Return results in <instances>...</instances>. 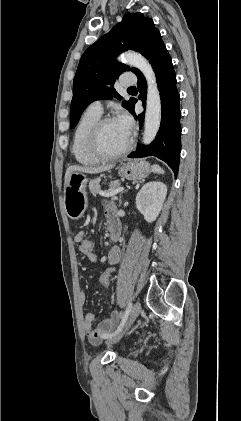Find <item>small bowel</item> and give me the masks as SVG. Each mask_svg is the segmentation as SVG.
Here are the masks:
<instances>
[{
    "label": "small bowel",
    "instance_id": "1",
    "mask_svg": "<svg viewBox=\"0 0 241 421\" xmlns=\"http://www.w3.org/2000/svg\"><path fill=\"white\" fill-rule=\"evenodd\" d=\"M115 214V207L113 205H107L106 207V216L107 218ZM85 240V233L79 231L75 237L74 241L77 244H81ZM91 262L95 263L97 261V256L94 252L83 253ZM122 251L120 247L114 246L110 249L107 255V261L111 265H116L121 259ZM79 300L85 302V293L83 291L79 292ZM120 320V314L118 312H113L109 319L103 320L96 327H94L95 314L93 312H87L84 317V329L89 341L93 344H99L103 337L112 331L118 321Z\"/></svg>",
    "mask_w": 241,
    "mask_h": 421
}]
</instances>
